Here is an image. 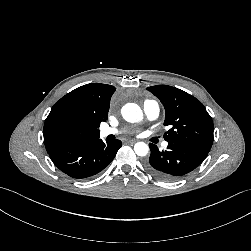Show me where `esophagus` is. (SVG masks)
I'll return each instance as SVG.
<instances>
[{
    "label": "esophagus",
    "instance_id": "esophagus-1",
    "mask_svg": "<svg viewBox=\"0 0 251 251\" xmlns=\"http://www.w3.org/2000/svg\"><path fill=\"white\" fill-rule=\"evenodd\" d=\"M127 142L130 143V144H134L136 142V140L131 139V140H128Z\"/></svg>",
    "mask_w": 251,
    "mask_h": 251
}]
</instances>
